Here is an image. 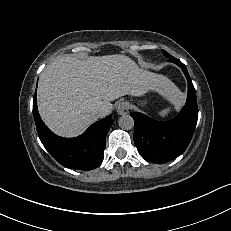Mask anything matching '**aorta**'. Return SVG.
<instances>
[{"mask_svg": "<svg viewBox=\"0 0 231 231\" xmlns=\"http://www.w3.org/2000/svg\"><path fill=\"white\" fill-rule=\"evenodd\" d=\"M119 127L124 130H130L134 127V120L130 115H123L119 118Z\"/></svg>", "mask_w": 231, "mask_h": 231, "instance_id": "aorta-1", "label": "aorta"}]
</instances>
